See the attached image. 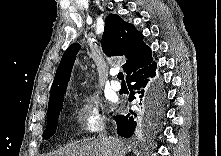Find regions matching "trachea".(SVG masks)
Masks as SVG:
<instances>
[{
	"instance_id": "obj_1",
	"label": "trachea",
	"mask_w": 221,
	"mask_h": 156,
	"mask_svg": "<svg viewBox=\"0 0 221 156\" xmlns=\"http://www.w3.org/2000/svg\"><path fill=\"white\" fill-rule=\"evenodd\" d=\"M118 79L120 80H124V74L122 72H120L118 75H117Z\"/></svg>"
}]
</instances>
